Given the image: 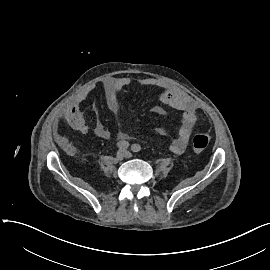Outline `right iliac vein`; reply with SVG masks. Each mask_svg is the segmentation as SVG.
I'll return each mask as SVG.
<instances>
[{"label": "right iliac vein", "mask_w": 270, "mask_h": 270, "mask_svg": "<svg viewBox=\"0 0 270 270\" xmlns=\"http://www.w3.org/2000/svg\"><path fill=\"white\" fill-rule=\"evenodd\" d=\"M126 157V152L124 150H119L116 154V160L117 161H122Z\"/></svg>", "instance_id": "right-iliac-vein-1"}]
</instances>
